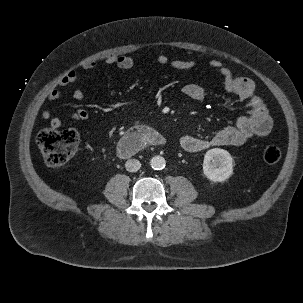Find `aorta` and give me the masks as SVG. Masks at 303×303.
<instances>
[{"instance_id": "aorta-1", "label": "aorta", "mask_w": 303, "mask_h": 303, "mask_svg": "<svg viewBox=\"0 0 303 303\" xmlns=\"http://www.w3.org/2000/svg\"><path fill=\"white\" fill-rule=\"evenodd\" d=\"M150 166L154 170H161V169L165 168L166 161L162 156H154L150 160Z\"/></svg>"}]
</instances>
